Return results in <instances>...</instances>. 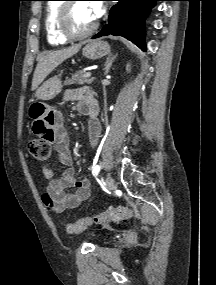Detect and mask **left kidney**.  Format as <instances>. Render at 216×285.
Returning a JSON list of instances; mask_svg holds the SVG:
<instances>
[{
  "label": "left kidney",
  "mask_w": 216,
  "mask_h": 285,
  "mask_svg": "<svg viewBox=\"0 0 216 285\" xmlns=\"http://www.w3.org/2000/svg\"><path fill=\"white\" fill-rule=\"evenodd\" d=\"M127 70L129 71V65H127Z\"/></svg>",
  "instance_id": "1"
}]
</instances>
